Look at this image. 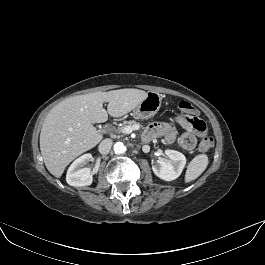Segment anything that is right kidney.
<instances>
[{"label": "right kidney", "instance_id": "right-kidney-1", "mask_svg": "<svg viewBox=\"0 0 265 265\" xmlns=\"http://www.w3.org/2000/svg\"><path fill=\"white\" fill-rule=\"evenodd\" d=\"M93 157L87 153L77 158L69 167L66 175V181L74 187L88 186L92 184L93 175L91 169L84 167Z\"/></svg>", "mask_w": 265, "mask_h": 265}]
</instances>
